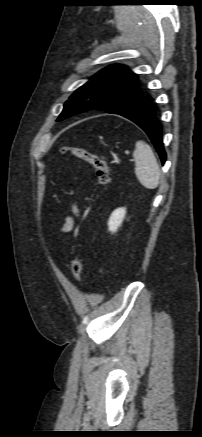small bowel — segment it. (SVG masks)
Here are the masks:
<instances>
[{"label":"small bowel","mask_w":202,"mask_h":437,"mask_svg":"<svg viewBox=\"0 0 202 437\" xmlns=\"http://www.w3.org/2000/svg\"><path fill=\"white\" fill-rule=\"evenodd\" d=\"M79 208L76 204L72 205V215L66 217L64 223L61 226L62 232H70L75 226V218L79 216Z\"/></svg>","instance_id":"c3829d8e"}]
</instances>
